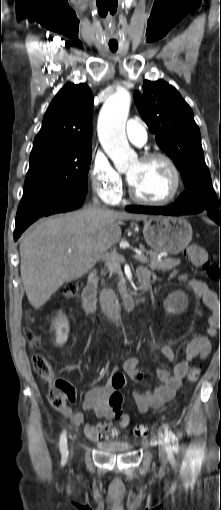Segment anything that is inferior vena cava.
I'll return each mask as SVG.
<instances>
[{
  "label": "inferior vena cava",
  "instance_id": "obj_1",
  "mask_svg": "<svg viewBox=\"0 0 221 510\" xmlns=\"http://www.w3.org/2000/svg\"><path fill=\"white\" fill-rule=\"evenodd\" d=\"M93 205L94 206H98L99 205V201H98V198L96 196H93Z\"/></svg>",
  "mask_w": 221,
  "mask_h": 510
}]
</instances>
